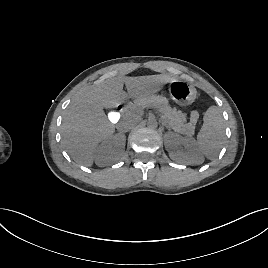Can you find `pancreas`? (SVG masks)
Here are the masks:
<instances>
[{
    "instance_id": "obj_1",
    "label": "pancreas",
    "mask_w": 268,
    "mask_h": 268,
    "mask_svg": "<svg viewBox=\"0 0 268 268\" xmlns=\"http://www.w3.org/2000/svg\"><path fill=\"white\" fill-rule=\"evenodd\" d=\"M146 107H152L160 113L166 127L180 134L191 136L194 134L195 121L186 123V115L181 111L171 108L164 96L150 95L135 101L129 107L131 113L140 114Z\"/></svg>"
}]
</instances>
